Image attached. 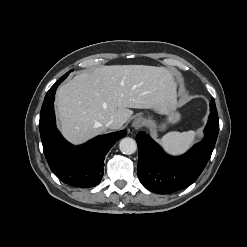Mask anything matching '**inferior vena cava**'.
<instances>
[{"label":"inferior vena cava","mask_w":247,"mask_h":247,"mask_svg":"<svg viewBox=\"0 0 247 247\" xmlns=\"http://www.w3.org/2000/svg\"><path fill=\"white\" fill-rule=\"evenodd\" d=\"M117 126H118V123H117V121H115V120H110V121H108V122L106 123V127H107V128H110V129H116Z\"/></svg>","instance_id":"602c4592"}]
</instances>
